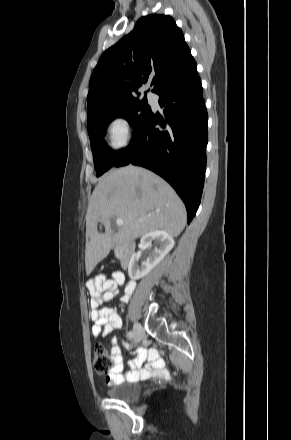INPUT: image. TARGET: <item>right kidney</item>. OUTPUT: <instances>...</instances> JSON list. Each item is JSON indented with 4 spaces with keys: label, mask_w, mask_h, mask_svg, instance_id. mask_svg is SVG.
<instances>
[{
    "label": "right kidney",
    "mask_w": 291,
    "mask_h": 440,
    "mask_svg": "<svg viewBox=\"0 0 291 440\" xmlns=\"http://www.w3.org/2000/svg\"><path fill=\"white\" fill-rule=\"evenodd\" d=\"M152 241H155L159 247H155L145 261L139 263L140 253L131 257L128 265V274L131 279L138 280L147 275L174 246V239L162 230L149 232L140 240L141 244L146 247H150Z\"/></svg>",
    "instance_id": "ca27d5eb"
}]
</instances>
